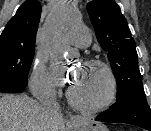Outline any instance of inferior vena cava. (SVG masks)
Instances as JSON below:
<instances>
[{"mask_svg": "<svg viewBox=\"0 0 151 131\" xmlns=\"http://www.w3.org/2000/svg\"><path fill=\"white\" fill-rule=\"evenodd\" d=\"M40 101L46 111L53 115L55 122H59L62 119L59 113V104L56 100L55 92L45 90Z\"/></svg>", "mask_w": 151, "mask_h": 131, "instance_id": "obj_1", "label": "inferior vena cava"}]
</instances>
